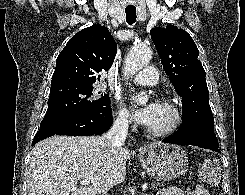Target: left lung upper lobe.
<instances>
[{"mask_svg":"<svg viewBox=\"0 0 245 195\" xmlns=\"http://www.w3.org/2000/svg\"><path fill=\"white\" fill-rule=\"evenodd\" d=\"M150 34L163 69L182 98L184 122L202 121L214 125L206 74L197 59L199 51L192 37L174 25L153 28Z\"/></svg>","mask_w":245,"mask_h":195,"instance_id":"left-lung-upper-lobe-1","label":"left lung upper lobe"}]
</instances>
